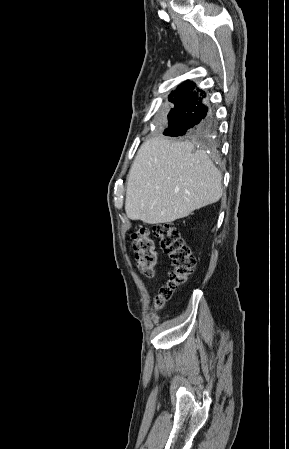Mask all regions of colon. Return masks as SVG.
<instances>
[{
	"label": "colon",
	"instance_id": "colon-1",
	"mask_svg": "<svg viewBox=\"0 0 289 449\" xmlns=\"http://www.w3.org/2000/svg\"><path fill=\"white\" fill-rule=\"evenodd\" d=\"M154 234L164 253L170 258L172 269L167 283L159 290L154 307L161 309L171 298L174 291L185 284L195 268V258L185 244L178 228L172 223L154 227ZM136 263L140 272L148 278L153 277L158 261L153 238L146 227H140L132 234Z\"/></svg>",
	"mask_w": 289,
	"mask_h": 449
}]
</instances>
